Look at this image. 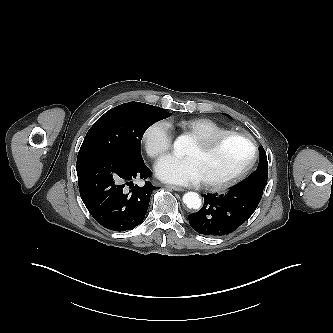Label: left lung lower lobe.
Segmentation results:
<instances>
[{
  "label": "left lung lower lobe",
  "instance_id": "0a47b994",
  "mask_svg": "<svg viewBox=\"0 0 333 333\" xmlns=\"http://www.w3.org/2000/svg\"><path fill=\"white\" fill-rule=\"evenodd\" d=\"M203 197L202 209L189 215V223L202 235L222 236L233 232L250 218L262 193L232 187L226 194H208Z\"/></svg>",
  "mask_w": 333,
  "mask_h": 333
}]
</instances>
